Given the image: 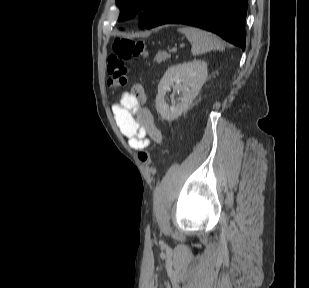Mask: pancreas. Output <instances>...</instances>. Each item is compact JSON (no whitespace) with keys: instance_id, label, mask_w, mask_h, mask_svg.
Returning <instances> with one entry per match:
<instances>
[{"instance_id":"obj_1","label":"pancreas","mask_w":309,"mask_h":288,"mask_svg":"<svg viewBox=\"0 0 309 288\" xmlns=\"http://www.w3.org/2000/svg\"><path fill=\"white\" fill-rule=\"evenodd\" d=\"M170 58V55L163 52V53H158L155 58H154V61L157 62V63H162L164 61H166L167 59Z\"/></svg>"}]
</instances>
